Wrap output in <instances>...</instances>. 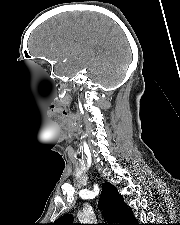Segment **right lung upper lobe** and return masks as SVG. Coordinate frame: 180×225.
Returning a JSON list of instances; mask_svg holds the SVG:
<instances>
[{"mask_svg": "<svg viewBox=\"0 0 180 225\" xmlns=\"http://www.w3.org/2000/svg\"><path fill=\"white\" fill-rule=\"evenodd\" d=\"M100 206H102V209H106L104 216L109 222L108 224L103 225H132L135 221L130 209L123 202L117 189L108 182L103 184ZM72 220L71 215H64L57 219L52 225H77L72 224Z\"/></svg>", "mask_w": 180, "mask_h": 225, "instance_id": "cb5924a9", "label": "right lung upper lobe"}]
</instances>
